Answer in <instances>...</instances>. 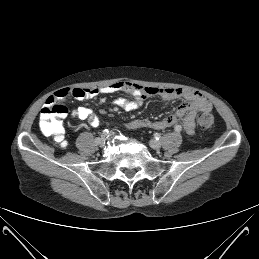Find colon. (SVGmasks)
Returning <instances> with one entry per match:
<instances>
[{"instance_id": "colon-1", "label": "colon", "mask_w": 259, "mask_h": 259, "mask_svg": "<svg viewBox=\"0 0 259 259\" xmlns=\"http://www.w3.org/2000/svg\"><path fill=\"white\" fill-rule=\"evenodd\" d=\"M67 108L55 100H49L42 108L39 116V128L48 137L53 138L61 146H65L63 119ZM199 125L202 128H209L213 125L212 114L204 112L199 116Z\"/></svg>"}]
</instances>
